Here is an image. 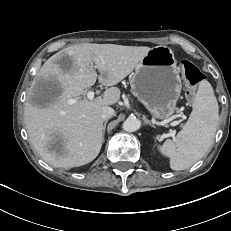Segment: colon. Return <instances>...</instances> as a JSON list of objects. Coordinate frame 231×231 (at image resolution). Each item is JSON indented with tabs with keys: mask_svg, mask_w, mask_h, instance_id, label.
Instances as JSON below:
<instances>
[{
	"mask_svg": "<svg viewBox=\"0 0 231 231\" xmlns=\"http://www.w3.org/2000/svg\"><path fill=\"white\" fill-rule=\"evenodd\" d=\"M181 73L189 88L186 91V96L192 95L195 86H197L204 78L201 71L190 61L182 60L180 64Z\"/></svg>",
	"mask_w": 231,
	"mask_h": 231,
	"instance_id": "colon-1",
	"label": "colon"
}]
</instances>
